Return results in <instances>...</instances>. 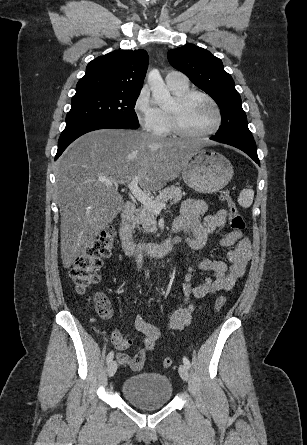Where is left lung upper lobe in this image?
Here are the masks:
<instances>
[{"instance_id":"5c2ea615","label":"left lung upper lobe","mask_w":307,"mask_h":445,"mask_svg":"<svg viewBox=\"0 0 307 445\" xmlns=\"http://www.w3.org/2000/svg\"><path fill=\"white\" fill-rule=\"evenodd\" d=\"M167 56L174 68L186 74L218 104L222 121L215 137L253 138L235 83L219 58L194 44L172 49Z\"/></svg>"}]
</instances>
